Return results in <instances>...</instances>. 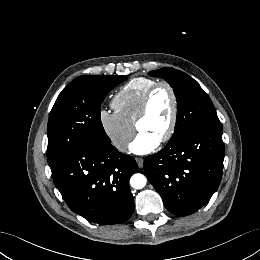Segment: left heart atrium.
<instances>
[{
    "mask_svg": "<svg viewBox=\"0 0 260 260\" xmlns=\"http://www.w3.org/2000/svg\"><path fill=\"white\" fill-rule=\"evenodd\" d=\"M159 145V140L146 133H139L130 144L129 149L134 154H146L152 152Z\"/></svg>",
    "mask_w": 260,
    "mask_h": 260,
    "instance_id": "1",
    "label": "left heart atrium"
}]
</instances>
